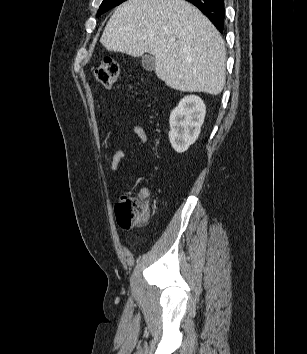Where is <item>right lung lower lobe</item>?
I'll return each instance as SVG.
<instances>
[{
	"label": "right lung lower lobe",
	"mask_w": 307,
	"mask_h": 354,
	"mask_svg": "<svg viewBox=\"0 0 307 354\" xmlns=\"http://www.w3.org/2000/svg\"><path fill=\"white\" fill-rule=\"evenodd\" d=\"M198 7L222 33L225 24L224 0H186Z\"/></svg>",
	"instance_id": "right-lung-lower-lobe-1"
}]
</instances>
